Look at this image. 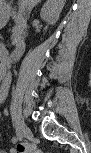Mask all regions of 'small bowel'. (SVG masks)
I'll return each mask as SVG.
<instances>
[{
    "instance_id": "c3829d8e",
    "label": "small bowel",
    "mask_w": 91,
    "mask_h": 153,
    "mask_svg": "<svg viewBox=\"0 0 91 153\" xmlns=\"http://www.w3.org/2000/svg\"><path fill=\"white\" fill-rule=\"evenodd\" d=\"M0 71H1V86H0V99L5 100L8 95V90L11 81L10 64L5 58L0 60ZM12 143H16V138H12ZM14 153V149L10 150Z\"/></svg>"
}]
</instances>
